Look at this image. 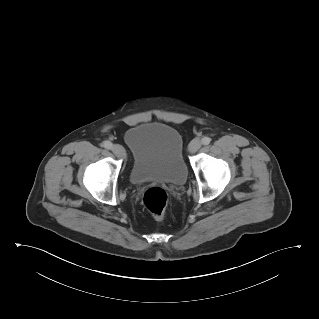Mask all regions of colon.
<instances>
[{"label":"colon","instance_id":"colon-1","mask_svg":"<svg viewBox=\"0 0 319 319\" xmlns=\"http://www.w3.org/2000/svg\"><path fill=\"white\" fill-rule=\"evenodd\" d=\"M168 199L166 191L155 186L145 192L143 203L154 218L161 220L165 216Z\"/></svg>","mask_w":319,"mask_h":319}]
</instances>
